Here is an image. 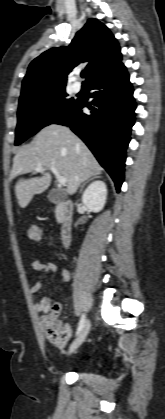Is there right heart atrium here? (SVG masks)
<instances>
[{
  "label": "right heart atrium",
  "instance_id": "1",
  "mask_svg": "<svg viewBox=\"0 0 165 419\" xmlns=\"http://www.w3.org/2000/svg\"><path fill=\"white\" fill-rule=\"evenodd\" d=\"M56 112V107L54 105H49L47 108V114L53 116Z\"/></svg>",
  "mask_w": 165,
  "mask_h": 419
}]
</instances>
